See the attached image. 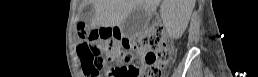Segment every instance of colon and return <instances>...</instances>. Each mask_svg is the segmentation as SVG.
Instances as JSON below:
<instances>
[{"mask_svg":"<svg viewBox=\"0 0 258 77\" xmlns=\"http://www.w3.org/2000/svg\"><path fill=\"white\" fill-rule=\"evenodd\" d=\"M78 34L85 41L79 44L78 52L84 72L90 77L97 76L106 67L108 53L117 63L108 71L109 77H161L172 59L159 23L153 24L147 34L134 38H125L111 28L79 27ZM111 41L122 42L125 51L108 49Z\"/></svg>","mask_w":258,"mask_h":77,"instance_id":"1","label":"colon"}]
</instances>
